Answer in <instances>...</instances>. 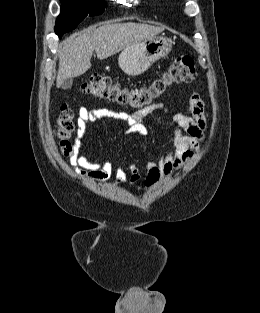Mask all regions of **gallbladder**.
Listing matches in <instances>:
<instances>
[{
	"mask_svg": "<svg viewBox=\"0 0 260 313\" xmlns=\"http://www.w3.org/2000/svg\"><path fill=\"white\" fill-rule=\"evenodd\" d=\"M73 84V80L72 78H67L63 81V83L61 84V88L66 90L72 87Z\"/></svg>",
	"mask_w": 260,
	"mask_h": 313,
	"instance_id": "bac80fb5",
	"label": "gallbladder"
}]
</instances>
